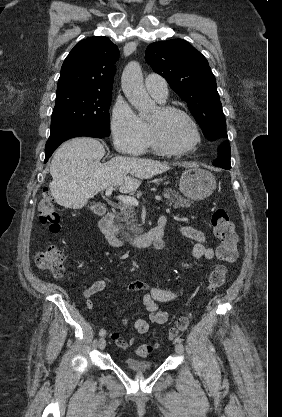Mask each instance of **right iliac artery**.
Listing matches in <instances>:
<instances>
[{
	"instance_id": "82829eb1",
	"label": "right iliac artery",
	"mask_w": 282,
	"mask_h": 417,
	"mask_svg": "<svg viewBox=\"0 0 282 417\" xmlns=\"http://www.w3.org/2000/svg\"><path fill=\"white\" fill-rule=\"evenodd\" d=\"M105 334H106V331L104 329H101L100 332H99V335L104 336Z\"/></svg>"
}]
</instances>
